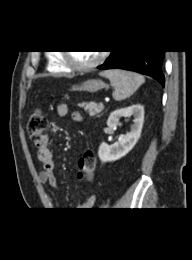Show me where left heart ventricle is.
<instances>
[{
    "mask_svg": "<svg viewBox=\"0 0 192 260\" xmlns=\"http://www.w3.org/2000/svg\"><path fill=\"white\" fill-rule=\"evenodd\" d=\"M98 52L94 51H77L71 53L72 60L79 65H86L97 59Z\"/></svg>",
    "mask_w": 192,
    "mask_h": 260,
    "instance_id": "b2bd125f",
    "label": "left heart ventricle"
}]
</instances>
